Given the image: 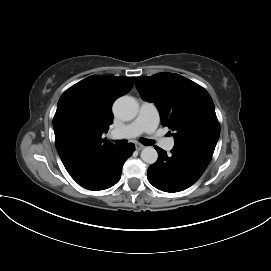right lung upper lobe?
<instances>
[{
    "mask_svg": "<svg viewBox=\"0 0 271 271\" xmlns=\"http://www.w3.org/2000/svg\"><path fill=\"white\" fill-rule=\"evenodd\" d=\"M135 77L90 76L66 90L53 119L58 154L73 179L83 175L111 149L106 138L113 102L130 91Z\"/></svg>",
    "mask_w": 271,
    "mask_h": 271,
    "instance_id": "obj_1",
    "label": "right lung upper lobe"
}]
</instances>
